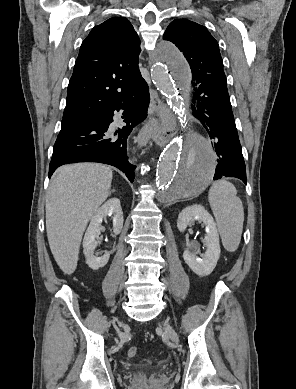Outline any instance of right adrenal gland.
<instances>
[{
    "label": "right adrenal gland",
    "instance_id": "2a0ac1e0",
    "mask_svg": "<svg viewBox=\"0 0 296 389\" xmlns=\"http://www.w3.org/2000/svg\"><path fill=\"white\" fill-rule=\"evenodd\" d=\"M113 192H115V190H114V189H113V190L110 192V194H111V193H113Z\"/></svg>",
    "mask_w": 296,
    "mask_h": 389
}]
</instances>
